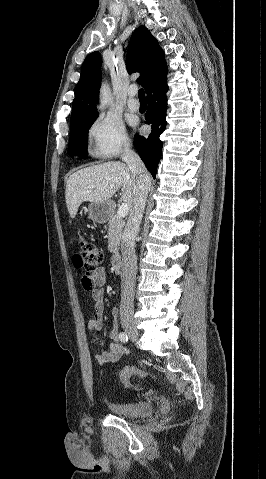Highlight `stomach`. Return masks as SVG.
Instances as JSON below:
<instances>
[{"mask_svg":"<svg viewBox=\"0 0 266 479\" xmlns=\"http://www.w3.org/2000/svg\"><path fill=\"white\" fill-rule=\"evenodd\" d=\"M87 212L93 222L104 223L110 217L111 204L109 202H91Z\"/></svg>","mask_w":266,"mask_h":479,"instance_id":"0dacf381","label":"stomach"}]
</instances>
